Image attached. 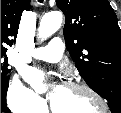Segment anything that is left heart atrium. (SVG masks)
I'll return each instance as SVG.
<instances>
[{
	"instance_id": "39dd6f15",
	"label": "left heart atrium",
	"mask_w": 121,
	"mask_h": 113,
	"mask_svg": "<svg viewBox=\"0 0 121 113\" xmlns=\"http://www.w3.org/2000/svg\"><path fill=\"white\" fill-rule=\"evenodd\" d=\"M28 79L33 83V85L41 90L42 89V74L38 70L31 69L27 73Z\"/></svg>"
}]
</instances>
